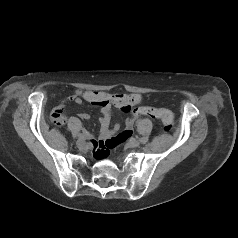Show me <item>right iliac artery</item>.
<instances>
[{
	"instance_id": "82829eb1",
	"label": "right iliac artery",
	"mask_w": 238,
	"mask_h": 238,
	"mask_svg": "<svg viewBox=\"0 0 238 238\" xmlns=\"http://www.w3.org/2000/svg\"><path fill=\"white\" fill-rule=\"evenodd\" d=\"M89 136L87 132L80 133L78 135L79 139H86Z\"/></svg>"
}]
</instances>
